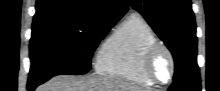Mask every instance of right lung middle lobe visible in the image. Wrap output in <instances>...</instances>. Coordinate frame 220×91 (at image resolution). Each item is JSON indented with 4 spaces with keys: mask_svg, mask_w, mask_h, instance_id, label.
Returning a JSON list of instances; mask_svg holds the SVG:
<instances>
[{
    "mask_svg": "<svg viewBox=\"0 0 220 91\" xmlns=\"http://www.w3.org/2000/svg\"><path fill=\"white\" fill-rule=\"evenodd\" d=\"M112 27L69 21L33 24L28 83L41 84L54 75L88 72L94 50Z\"/></svg>",
    "mask_w": 220,
    "mask_h": 91,
    "instance_id": "obj_1",
    "label": "right lung middle lobe"
}]
</instances>
